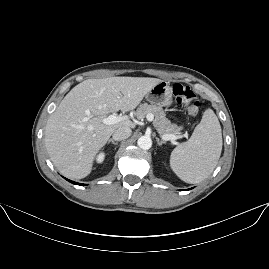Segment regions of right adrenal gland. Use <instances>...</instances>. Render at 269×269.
I'll return each instance as SVG.
<instances>
[{"instance_id":"obj_1","label":"right adrenal gland","mask_w":269,"mask_h":269,"mask_svg":"<svg viewBox=\"0 0 269 269\" xmlns=\"http://www.w3.org/2000/svg\"><path fill=\"white\" fill-rule=\"evenodd\" d=\"M107 143H112L114 145H118V142H115L113 139H108Z\"/></svg>"}]
</instances>
